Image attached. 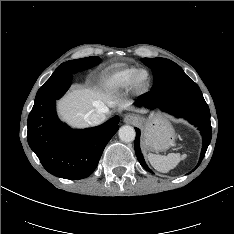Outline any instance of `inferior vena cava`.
<instances>
[{"mask_svg":"<svg viewBox=\"0 0 234 234\" xmlns=\"http://www.w3.org/2000/svg\"><path fill=\"white\" fill-rule=\"evenodd\" d=\"M108 112V107L101 104L98 109L91 110L85 115V120L92 126L99 125L105 121V113Z\"/></svg>","mask_w":234,"mask_h":234,"instance_id":"602c4592","label":"inferior vena cava"}]
</instances>
